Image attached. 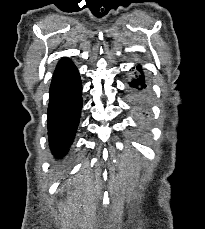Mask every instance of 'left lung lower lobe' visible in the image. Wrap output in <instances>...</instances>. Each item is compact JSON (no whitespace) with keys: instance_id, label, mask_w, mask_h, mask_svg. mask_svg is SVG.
Here are the masks:
<instances>
[{"instance_id":"0a47b994","label":"left lung lower lobe","mask_w":205,"mask_h":229,"mask_svg":"<svg viewBox=\"0 0 205 229\" xmlns=\"http://www.w3.org/2000/svg\"><path fill=\"white\" fill-rule=\"evenodd\" d=\"M137 71L140 73L138 75H136L135 78H133L130 82H129V86L131 87L132 90V94L135 96V98L137 99V108L138 110L143 114L146 115L144 112V109L142 108V97L144 95V93L146 92V82H145V76L142 72V67L140 65H138L136 67Z\"/></svg>"}]
</instances>
